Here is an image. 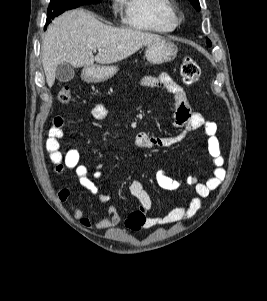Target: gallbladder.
I'll use <instances>...</instances> for the list:
<instances>
[{
  "label": "gallbladder",
  "instance_id": "bac80fb5",
  "mask_svg": "<svg viewBox=\"0 0 267 301\" xmlns=\"http://www.w3.org/2000/svg\"><path fill=\"white\" fill-rule=\"evenodd\" d=\"M74 68L68 63H62L56 68V79L59 82L71 81L74 77Z\"/></svg>",
  "mask_w": 267,
  "mask_h": 301
}]
</instances>
